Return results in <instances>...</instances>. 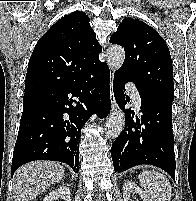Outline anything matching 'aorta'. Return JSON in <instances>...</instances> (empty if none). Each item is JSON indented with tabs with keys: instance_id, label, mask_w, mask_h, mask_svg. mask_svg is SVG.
I'll use <instances>...</instances> for the list:
<instances>
[{
	"instance_id": "762f6f07",
	"label": "aorta",
	"mask_w": 196,
	"mask_h": 201,
	"mask_svg": "<svg viewBox=\"0 0 196 201\" xmlns=\"http://www.w3.org/2000/svg\"><path fill=\"white\" fill-rule=\"evenodd\" d=\"M108 66L113 70H118L123 65L125 59V51L119 45H112L107 49L106 53ZM125 123V115L121 109H116L110 113L106 124V137L110 139L117 138L123 130Z\"/></svg>"
}]
</instances>
